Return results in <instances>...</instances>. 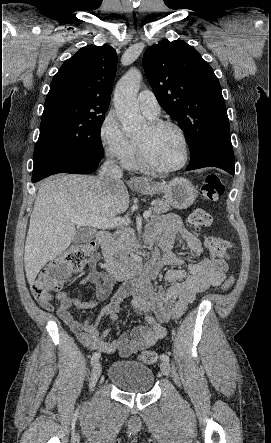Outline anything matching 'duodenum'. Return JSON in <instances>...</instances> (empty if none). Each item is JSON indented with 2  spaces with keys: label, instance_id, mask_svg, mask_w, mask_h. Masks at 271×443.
<instances>
[{
  "label": "duodenum",
  "instance_id": "410a0bca",
  "mask_svg": "<svg viewBox=\"0 0 271 443\" xmlns=\"http://www.w3.org/2000/svg\"><path fill=\"white\" fill-rule=\"evenodd\" d=\"M96 241L107 251L111 235L108 232H98L96 235ZM105 270L112 276L117 278H129L140 276L144 270L142 263L136 259H125L123 261H117L106 255L104 260Z\"/></svg>",
  "mask_w": 271,
  "mask_h": 443
}]
</instances>
